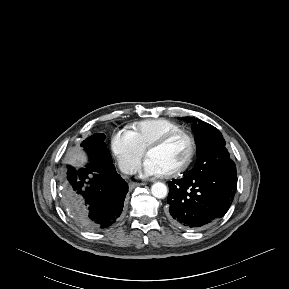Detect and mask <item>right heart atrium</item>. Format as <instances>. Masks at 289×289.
<instances>
[{
  "instance_id": "1",
  "label": "right heart atrium",
  "mask_w": 289,
  "mask_h": 289,
  "mask_svg": "<svg viewBox=\"0 0 289 289\" xmlns=\"http://www.w3.org/2000/svg\"><path fill=\"white\" fill-rule=\"evenodd\" d=\"M111 149L120 168L126 173H131L144 155V149L129 129H122L113 134Z\"/></svg>"
}]
</instances>
